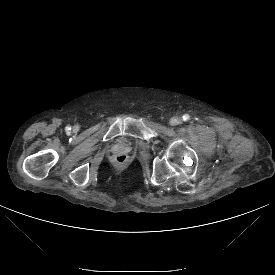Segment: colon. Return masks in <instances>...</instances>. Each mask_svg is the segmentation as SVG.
Masks as SVG:
<instances>
[{"label":"colon","instance_id":"colon-1","mask_svg":"<svg viewBox=\"0 0 275 275\" xmlns=\"http://www.w3.org/2000/svg\"><path fill=\"white\" fill-rule=\"evenodd\" d=\"M127 161L126 155L118 154L115 156V162L117 164H124Z\"/></svg>","mask_w":275,"mask_h":275}]
</instances>
